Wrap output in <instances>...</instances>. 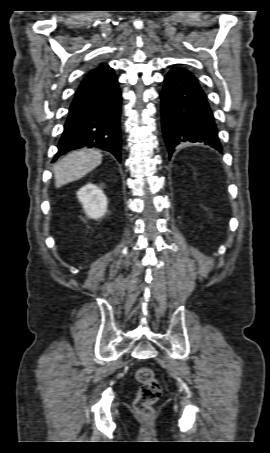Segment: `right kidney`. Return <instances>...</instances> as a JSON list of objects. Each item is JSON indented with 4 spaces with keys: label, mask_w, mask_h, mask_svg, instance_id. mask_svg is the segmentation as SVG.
Listing matches in <instances>:
<instances>
[{
    "label": "right kidney",
    "mask_w": 270,
    "mask_h": 453,
    "mask_svg": "<svg viewBox=\"0 0 270 453\" xmlns=\"http://www.w3.org/2000/svg\"><path fill=\"white\" fill-rule=\"evenodd\" d=\"M77 197L89 218L99 219L106 213L107 198L98 186L86 184L77 192Z\"/></svg>",
    "instance_id": "1"
}]
</instances>
